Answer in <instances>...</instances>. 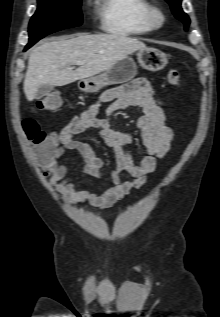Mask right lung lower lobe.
Wrapping results in <instances>:
<instances>
[{
	"label": "right lung lower lobe",
	"mask_w": 220,
	"mask_h": 317,
	"mask_svg": "<svg viewBox=\"0 0 220 317\" xmlns=\"http://www.w3.org/2000/svg\"><path fill=\"white\" fill-rule=\"evenodd\" d=\"M35 44V43H34ZM33 44L32 43H28V45L25 47V50H27L28 48H30Z\"/></svg>",
	"instance_id": "1"
}]
</instances>
